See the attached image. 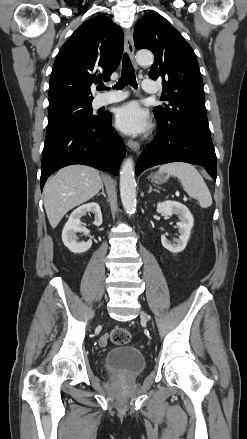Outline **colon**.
<instances>
[{"label":"colon","instance_id":"1","mask_svg":"<svg viewBox=\"0 0 247 439\" xmlns=\"http://www.w3.org/2000/svg\"><path fill=\"white\" fill-rule=\"evenodd\" d=\"M110 340L116 345H126L131 341V334L125 328H115L110 333Z\"/></svg>","mask_w":247,"mask_h":439}]
</instances>
